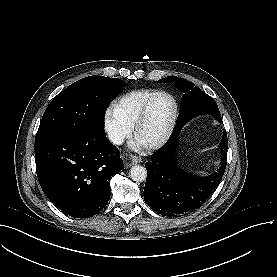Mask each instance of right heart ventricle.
Returning <instances> with one entry per match:
<instances>
[{
  "instance_id": "right-heart-ventricle-1",
  "label": "right heart ventricle",
  "mask_w": 277,
  "mask_h": 277,
  "mask_svg": "<svg viewBox=\"0 0 277 277\" xmlns=\"http://www.w3.org/2000/svg\"><path fill=\"white\" fill-rule=\"evenodd\" d=\"M153 93L151 90L132 91L122 97L116 104V109L123 118L131 125L136 121L147 99Z\"/></svg>"
}]
</instances>
